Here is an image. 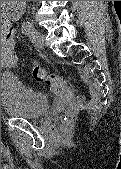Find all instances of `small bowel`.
I'll use <instances>...</instances> for the list:
<instances>
[{"label": "small bowel", "instance_id": "obj_1", "mask_svg": "<svg viewBox=\"0 0 121 169\" xmlns=\"http://www.w3.org/2000/svg\"><path fill=\"white\" fill-rule=\"evenodd\" d=\"M23 8L24 6L22 1H8L4 6L1 16V44H4L6 41L10 42L11 44H15L13 22L19 19Z\"/></svg>", "mask_w": 121, "mask_h": 169}]
</instances>
